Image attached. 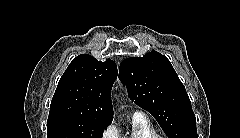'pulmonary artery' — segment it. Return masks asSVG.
I'll list each match as a JSON object with an SVG mask.
<instances>
[{"label": "pulmonary artery", "mask_w": 240, "mask_h": 138, "mask_svg": "<svg viewBox=\"0 0 240 138\" xmlns=\"http://www.w3.org/2000/svg\"><path fill=\"white\" fill-rule=\"evenodd\" d=\"M134 115H142V112L136 111V112L134 113Z\"/></svg>", "instance_id": "1"}]
</instances>
